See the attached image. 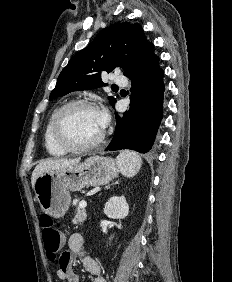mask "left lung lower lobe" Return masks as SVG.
Returning a JSON list of instances; mask_svg holds the SVG:
<instances>
[{"label": "left lung lower lobe", "instance_id": "0a47b994", "mask_svg": "<svg viewBox=\"0 0 232 282\" xmlns=\"http://www.w3.org/2000/svg\"><path fill=\"white\" fill-rule=\"evenodd\" d=\"M149 43L140 61L125 75L131 78V109L120 118L106 151L131 149L147 153L152 149L162 119L164 71Z\"/></svg>", "mask_w": 232, "mask_h": 282}]
</instances>
